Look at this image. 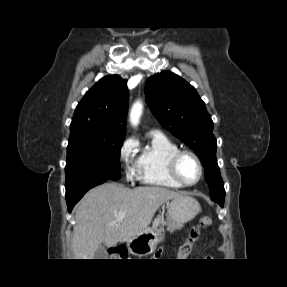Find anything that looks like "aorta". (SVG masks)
Here are the masks:
<instances>
[{
  "instance_id": "762f6f07",
  "label": "aorta",
  "mask_w": 287,
  "mask_h": 287,
  "mask_svg": "<svg viewBox=\"0 0 287 287\" xmlns=\"http://www.w3.org/2000/svg\"><path fill=\"white\" fill-rule=\"evenodd\" d=\"M142 110H143V105L140 101L136 102L133 105L131 109V113H130V121L132 125L137 126V124L139 123L140 116L142 114Z\"/></svg>"
}]
</instances>
